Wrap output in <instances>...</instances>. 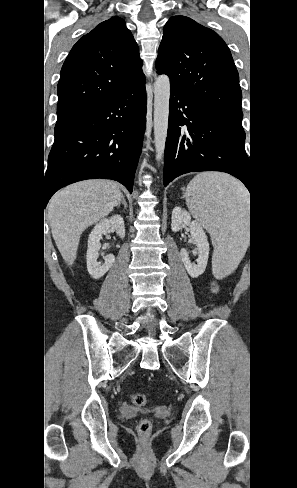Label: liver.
<instances>
[{"label": "liver", "instance_id": "6515ba94", "mask_svg": "<svg viewBox=\"0 0 297 488\" xmlns=\"http://www.w3.org/2000/svg\"><path fill=\"white\" fill-rule=\"evenodd\" d=\"M122 200L116 183L86 180L54 194L47 218L56 246L68 265H73L82 232L107 216Z\"/></svg>", "mask_w": 297, "mask_h": 488}]
</instances>
